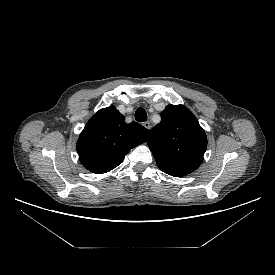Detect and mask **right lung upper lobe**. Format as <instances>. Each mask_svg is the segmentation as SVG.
Here are the masks:
<instances>
[{
    "label": "right lung upper lobe",
    "mask_w": 275,
    "mask_h": 275,
    "mask_svg": "<svg viewBox=\"0 0 275 275\" xmlns=\"http://www.w3.org/2000/svg\"><path fill=\"white\" fill-rule=\"evenodd\" d=\"M149 135L150 131L136 122L126 124L115 107L101 109L79 136V160L91 172H109L121 164L130 149L146 142Z\"/></svg>",
    "instance_id": "1"
}]
</instances>
